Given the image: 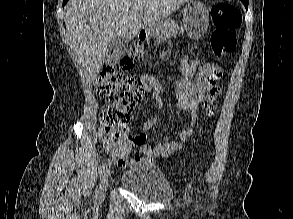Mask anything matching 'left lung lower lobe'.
Returning a JSON list of instances; mask_svg holds the SVG:
<instances>
[{"label": "left lung lower lobe", "mask_w": 293, "mask_h": 219, "mask_svg": "<svg viewBox=\"0 0 293 219\" xmlns=\"http://www.w3.org/2000/svg\"><path fill=\"white\" fill-rule=\"evenodd\" d=\"M242 3L244 4L246 10L248 9V0H241Z\"/></svg>", "instance_id": "obj_1"}]
</instances>
